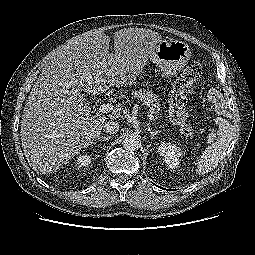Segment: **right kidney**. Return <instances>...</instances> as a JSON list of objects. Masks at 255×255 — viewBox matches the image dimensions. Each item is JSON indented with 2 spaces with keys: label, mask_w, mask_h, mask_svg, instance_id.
<instances>
[{
  "label": "right kidney",
  "mask_w": 255,
  "mask_h": 255,
  "mask_svg": "<svg viewBox=\"0 0 255 255\" xmlns=\"http://www.w3.org/2000/svg\"><path fill=\"white\" fill-rule=\"evenodd\" d=\"M91 162V156L87 154L79 155L75 159V168L80 169L84 166H88Z\"/></svg>",
  "instance_id": "1"
}]
</instances>
